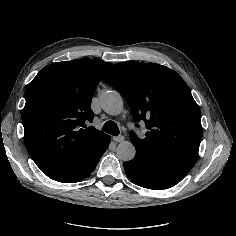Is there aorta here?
<instances>
[{"mask_svg":"<svg viewBox=\"0 0 236 236\" xmlns=\"http://www.w3.org/2000/svg\"><path fill=\"white\" fill-rule=\"evenodd\" d=\"M102 109L110 115H118L123 110L121 95L115 90L105 91L100 96ZM136 153L134 145L129 141H122L118 144L116 155L119 160L130 161Z\"/></svg>","mask_w":236,"mask_h":236,"instance_id":"762f6f07","label":"aorta"}]
</instances>
